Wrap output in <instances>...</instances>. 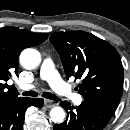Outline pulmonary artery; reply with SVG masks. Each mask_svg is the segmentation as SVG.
<instances>
[{
  "instance_id": "e3ab8cb5",
  "label": "pulmonary artery",
  "mask_w": 130,
  "mask_h": 130,
  "mask_svg": "<svg viewBox=\"0 0 130 130\" xmlns=\"http://www.w3.org/2000/svg\"><path fill=\"white\" fill-rule=\"evenodd\" d=\"M40 76L43 80H46L51 88L59 95L70 99L75 104L79 105L82 101V97L72 91L70 86L66 84L55 69L54 63L50 57H46L42 63L40 69ZM33 85L21 84L20 88L23 90L31 89Z\"/></svg>"
}]
</instances>
